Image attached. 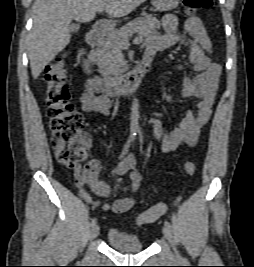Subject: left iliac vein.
Listing matches in <instances>:
<instances>
[{
  "label": "left iliac vein",
  "mask_w": 254,
  "mask_h": 267,
  "mask_svg": "<svg viewBox=\"0 0 254 267\" xmlns=\"http://www.w3.org/2000/svg\"><path fill=\"white\" fill-rule=\"evenodd\" d=\"M162 232H163V235L164 237L169 241V243L172 245L173 249H174V252L175 254L178 256V252L174 246V240H173V235H172V232L171 230L167 227V226H164L162 228Z\"/></svg>",
  "instance_id": "obj_1"
}]
</instances>
